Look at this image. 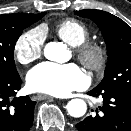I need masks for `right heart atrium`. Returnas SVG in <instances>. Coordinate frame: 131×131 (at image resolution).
Segmentation results:
<instances>
[{
    "instance_id": "1",
    "label": "right heart atrium",
    "mask_w": 131,
    "mask_h": 131,
    "mask_svg": "<svg viewBox=\"0 0 131 131\" xmlns=\"http://www.w3.org/2000/svg\"><path fill=\"white\" fill-rule=\"evenodd\" d=\"M44 41L45 32L41 27L24 32L14 45L16 59L23 65H28L39 59L43 52Z\"/></svg>"
}]
</instances>
